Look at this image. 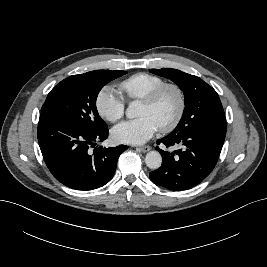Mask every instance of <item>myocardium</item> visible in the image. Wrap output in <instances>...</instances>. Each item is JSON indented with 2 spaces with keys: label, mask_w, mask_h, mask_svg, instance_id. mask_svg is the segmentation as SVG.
Returning <instances> with one entry per match:
<instances>
[{
  "label": "myocardium",
  "mask_w": 267,
  "mask_h": 267,
  "mask_svg": "<svg viewBox=\"0 0 267 267\" xmlns=\"http://www.w3.org/2000/svg\"><path fill=\"white\" fill-rule=\"evenodd\" d=\"M167 90L175 91L178 97V109L173 119L168 124L159 128V131L161 133L171 132L180 123L186 109V97L183 89L176 83H164L159 87H157L156 89H154L151 93H149L146 97H144L141 100L142 103L148 106H153L158 102L160 97Z\"/></svg>",
  "instance_id": "f54148a6"
}]
</instances>
